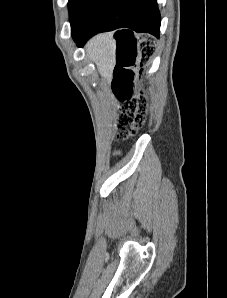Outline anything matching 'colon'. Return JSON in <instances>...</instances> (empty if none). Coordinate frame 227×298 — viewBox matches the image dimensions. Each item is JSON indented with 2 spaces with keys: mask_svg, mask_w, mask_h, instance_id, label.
<instances>
[{
  "mask_svg": "<svg viewBox=\"0 0 227 298\" xmlns=\"http://www.w3.org/2000/svg\"><path fill=\"white\" fill-rule=\"evenodd\" d=\"M154 52L153 45L147 41L143 43L140 49V62H147ZM134 60L132 56H127L122 62L121 69L119 70L114 89L116 95L123 105V113L121 124L119 126L118 137L121 140H126L132 137L137 129L143 126L146 122L145 116L141 113L145 109L147 102L144 100H132V88L135 78V72L132 69Z\"/></svg>",
  "mask_w": 227,
  "mask_h": 298,
  "instance_id": "colon-1",
  "label": "colon"
}]
</instances>
